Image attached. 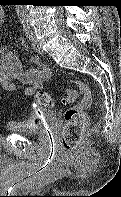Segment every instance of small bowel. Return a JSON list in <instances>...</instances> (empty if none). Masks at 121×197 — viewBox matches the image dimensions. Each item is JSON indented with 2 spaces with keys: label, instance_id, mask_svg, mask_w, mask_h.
<instances>
[{
  "label": "small bowel",
  "instance_id": "small-bowel-1",
  "mask_svg": "<svg viewBox=\"0 0 121 197\" xmlns=\"http://www.w3.org/2000/svg\"><path fill=\"white\" fill-rule=\"evenodd\" d=\"M5 21V14L0 9V26ZM22 48H26L21 38L18 39ZM32 67L24 70L21 57L12 49L4 47L0 49V85L6 91H18L23 96H31L43 88L46 81L50 79L51 73L38 56L30 58ZM18 81L23 86H16Z\"/></svg>",
  "mask_w": 121,
  "mask_h": 197
}]
</instances>
